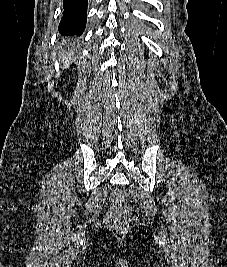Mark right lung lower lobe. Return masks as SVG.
Masks as SVG:
<instances>
[{
    "instance_id": "1",
    "label": "right lung lower lobe",
    "mask_w": 227,
    "mask_h": 267,
    "mask_svg": "<svg viewBox=\"0 0 227 267\" xmlns=\"http://www.w3.org/2000/svg\"><path fill=\"white\" fill-rule=\"evenodd\" d=\"M88 0H64L63 17L59 24V32L67 41L72 36H80L86 26Z\"/></svg>"
}]
</instances>
